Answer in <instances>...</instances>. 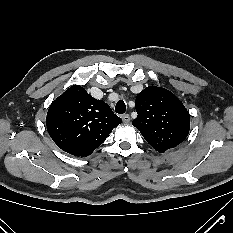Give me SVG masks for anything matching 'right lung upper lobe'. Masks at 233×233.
Masks as SVG:
<instances>
[{"label":"right lung upper lobe","mask_w":233,"mask_h":233,"mask_svg":"<svg viewBox=\"0 0 233 233\" xmlns=\"http://www.w3.org/2000/svg\"><path fill=\"white\" fill-rule=\"evenodd\" d=\"M121 123L109 105L78 85L68 88L49 107L46 126L56 145L74 156H88Z\"/></svg>","instance_id":"right-lung-upper-lobe-1"}]
</instances>
